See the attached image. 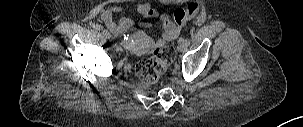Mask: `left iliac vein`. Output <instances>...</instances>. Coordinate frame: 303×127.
I'll return each mask as SVG.
<instances>
[{
	"label": "left iliac vein",
	"instance_id": "1",
	"mask_svg": "<svg viewBox=\"0 0 303 127\" xmlns=\"http://www.w3.org/2000/svg\"><path fill=\"white\" fill-rule=\"evenodd\" d=\"M188 45L184 38H180L178 41V50L184 52L187 49Z\"/></svg>",
	"mask_w": 303,
	"mask_h": 127
}]
</instances>
